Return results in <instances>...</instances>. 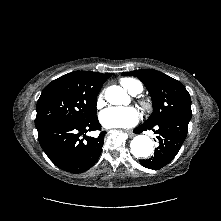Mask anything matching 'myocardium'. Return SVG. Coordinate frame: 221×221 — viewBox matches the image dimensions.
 I'll return each mask as SVG.
<instances>
[{"mask_svg":"<svg viewBox=\"0 0 221 221\" xmlns=\"http://www.w3.org/2000/svg\"><path fill=\"white\" fill-rule=\"evenodd\" d=\"M140 105L143 108L144 111L149 112L152 109V102L148 98H143L140 100Z\"/></svg>","mask_w":221,"mask_h":221,"instance_id":"obj_1","label":"myocardium"}]
</instances>
